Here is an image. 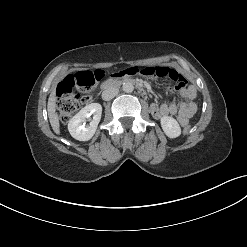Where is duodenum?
<instances>
[{"label":"duodenum","mask_w":247,"mask_h":247,"mask_svg":"<svg viewBox=\"0 0 247 247\" xmlns=\"http://www.w3.org/2000/svg\"><path fill=\"white\" fill-rule=\"evenodd\" d=\"M126 82H132L133 83L134 81H133V79L128 78V77H122V78L121 77H119V78L118 77H114V78H111V79L105 81L102 84L101 89L103 91H106V90H108L110 88H113L115 86H118V85H120L122 83H126ZM137 90L142 94L146 93L145 89L141 85H137Z\"/></svg>","instance_id":"1"}]
</instances>
